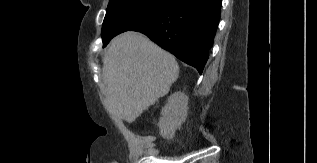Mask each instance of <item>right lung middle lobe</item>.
<instances>
[{"instance_id":"dd1d6c3e","label":"right lung middle lobe","mask_w":317,"mask_h":163,"mask_svg":"<svg viewBox=\"0 0 317 163\" xmlns=\"http://www.w3.org/2000/svg\"><path fill=\"white\" fill-rule=\"evenodd\" d=\"M171 0H109L103 21V46L114 36L152 18Z\"/></svg>"}]
</instances>
